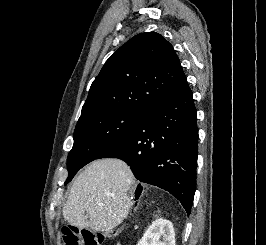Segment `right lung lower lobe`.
Returning <instances> with one entry per match:
<instances>
[{"label":"right lung lower lobe","mask_w":266,"mask_h":245,"mask_svg":"<svg viewBox=\"0 0 266 245\" xmlns=\"http://www.w3.org/2000/svg\"><path fill=\"white\" fill-rule=\"evenodd\" d=\"M196 115L186 83L150 107L123 140L97 159L125 161L138 180L168 191L189 215L196 190Z\"/></svg>","instance_id":"right-lung-lower-lobe-1"}]
</instances>
